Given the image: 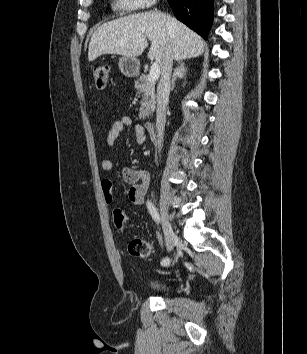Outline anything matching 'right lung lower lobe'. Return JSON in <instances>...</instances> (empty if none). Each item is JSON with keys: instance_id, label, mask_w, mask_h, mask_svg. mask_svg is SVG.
<instances>
[{"instance_id": "98d812e1", "label": "right lung lower lobe", "mask_w": 307, "mask_h": 354, "mask_svg": "<svg viewBox=\"0 0 307 354\" xmlns=\"http://www.w3.org/2000/svg\"><path fill=\"white\" fill-rule=\"evenodd\" d=\"M176 18L207 38L210 30L214 8L213 0H168Z\"/></svg>"}]
</instances>
